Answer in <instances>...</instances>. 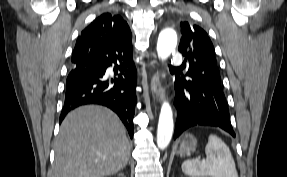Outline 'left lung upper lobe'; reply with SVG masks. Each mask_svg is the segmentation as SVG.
Wrapping results in <instances>:
<instances>
[{"label": "left lung upper lobe", "mask_w": 287, "mask_h": 177, "mask_svg": "<svg viewBox=\"0 0 287 177\" xmlns=\"http://www.w3.org/2000/svg\"><path fill=\"white\" fill-rule=\"evenodd\" d=\"M180 30L182 37L178 50L189 61L186 78L201 85L203 90L213 86L222 88L214 48L207 33L188 22H181Z\"/></svg>", "instance_id": "5c2ea615"}]
</instances>
